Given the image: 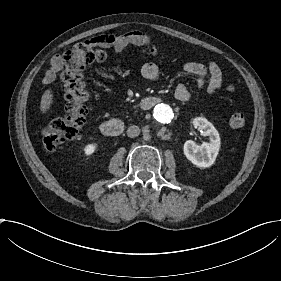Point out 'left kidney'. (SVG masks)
Here are the masks:
<instances>
[{
	"label": "left kidney",
	"instance_id": "left-kidney-1",
	"mask_svg": "<svg viewBox=\"0 0 281 281\" xmlns=\"http://www.w3.org/2000/svg\"><path fill=\"white\" fill-rule=\"evenodd\" d=\"M194 125L203 130L204 135L210 139L203 142L201 146L195 144L192 140H187L183 146V152L187 160L198 168H208L216 160L219 148L220 137L218 131L205 118H196ZM200 149L201 153H198Z\"/></svg>",
	"mask_w": 281,
	"mask_h": 281
}]
</instances>
